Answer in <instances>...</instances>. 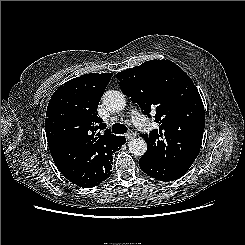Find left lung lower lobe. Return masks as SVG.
Listing matches in <instances>:
<instances>
[{
    "instance_id": "obj_1",
    "label": "left lung lower lobe",
    "mask_w": 245,
    "mask_h": 245,
    "mask_svg": "<svg viewBox=\"0 0 245 245\" xmlns=\"http://www.w3.org/2000/svg\"><path fill=\"white\" fill-rule=\"evenodd\" d=\"M141 170L148 176L169 182L181 178L189 168L165 165L142 156L139 160Z\"/></svg>"
}]
</instances>
